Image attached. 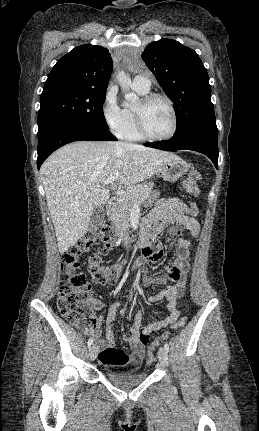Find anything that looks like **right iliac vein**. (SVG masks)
I'll list each match as a JSON object with an SVG mask.
<instances>
[{"instance_id":"63e3f726","label":"right iliac vein","mask_w":259,"mask_h":431,"mask_svg":"<svg viewBox=\"0 0 259 431\" xmlns=\"http://www.w3.org/2000/svg\"><path fill=\"white\" fill-rule=\"evenodd\" d=\"M89 357L93 361L97 357V348L95 345L90 346L89 348Z\"/></svg>"}]
</instances>
